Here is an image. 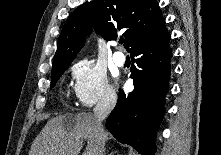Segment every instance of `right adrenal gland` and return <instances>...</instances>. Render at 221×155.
<instances>
[{
	"mask_svg": "<svg viewBox=\"0 0 221 155\" xmlns=\"http://www.w3.org/2000/svg\"><path fill=\"white\" fill-rule=\"evenodd\" d=\"M105 152V151H104ZM117 154V151L116 150H113L111 153H108V155H116ZM104 155H106V153H104Z\"/></svg>",
	"mask_w": 221,
	"mask_h": 155,
	"instance_id": "obj_1",
	"label": "right adrenal gland"
}]
</instances>
